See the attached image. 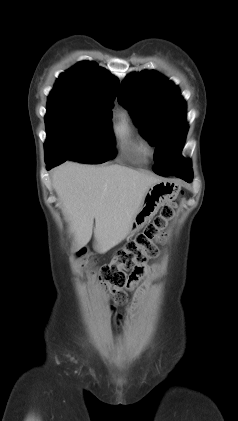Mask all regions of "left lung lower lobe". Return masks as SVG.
Returning a JSON list of instances; mask_svg holds the SVG:
<instances>
[{"mask_svg":"<svg viewBox=\"0 0 238 421\" xmlns=\"http://www.w3.org/2000/svg\"><path fill=\"white\" fill-rule=\"evenodd\" d=\"M165 174L166 175H162V176L176 175L178 178H181L185 180L186 182H191L193 179V173H192L191 167L181 172L170 171Z\"/></svg>","mask_w":238,"mask_h":421,"instance_id":"left-lung-lower-lobe-1","label":"left lung lower lobe"}]
</instances>
